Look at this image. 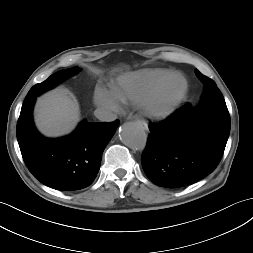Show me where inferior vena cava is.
<instances>
[{"instance_id":"1","label":"inferior vena cava","mask_w":253,"mask_h":253,"mask_svg":"<svg viewBox=\"0 0 253 253\" xmlns=\"http://www.w3.org/2000/svg\"><path fill=\"white\" fill-rule=\"evenodd\" d=\"M94 115L97 119L104 122H112L117 118L115 113L105 108H97L94 111Z\"/></svg>"}]
</instances>
